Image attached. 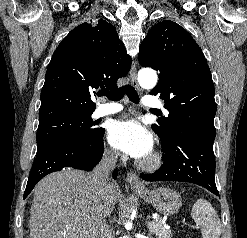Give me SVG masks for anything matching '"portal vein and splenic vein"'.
I'll return each instance as SVG.
<instances>
[{
  "mask_svg": "<svg viewBox=\"0 0 247 238\" xmlns=\"http://www.w3.org/2000/svg\"><path fill=\"white\" fill-rule=\"evenodd\" d=\"M150 224H151V221H148V222H147V225H150Z\"/></svg>",
  "mask_w": 247,
  "mask_h": 238,
  "instance_id": "obj_1",
  "label": "portal vein and splenic vein"
}]
</instances>
